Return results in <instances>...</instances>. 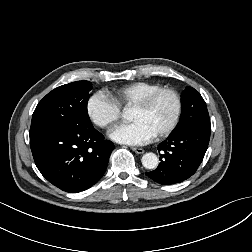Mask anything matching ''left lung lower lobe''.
Masks as SVG:
<instances>
[{"label":"left lung lower lobe","mask_w":252,"mask_h":252,"mask_svg":"<svg viewBox=\"0 0 252 252\" xmlns=\"http://www.w3.org/2000/svg\"><path fill=\"white\" fill-rule=\"evenodd\" d=\"M210 132V126L197 125L170 134L158 146L161 162L146 175L163 185L179 183L191 177L204 158Z\"/></svg>","instance_id":"1"}]
</instances>
